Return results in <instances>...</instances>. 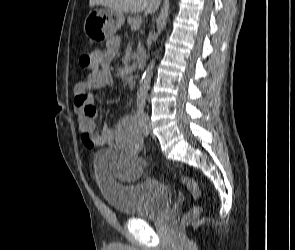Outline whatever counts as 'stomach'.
Returning a JSON list of instances; mask_svg holds the SVG:
<instances>
[{
  "label": "stomach",
  "instance_id": "1",
  "mask_svg": "<svg viewBox=\"0 0 295 250\" xmlns=\"http://www.w3.org/2000/svg\"><path fill=\"white\" fill-rule=\"evenodd\" d=\"M125 21L124 14L113 9H96L89 13L84 31L91 40H108Z\"/></svg>",
  "mask_w": 295,
  "mask_h": 250
}]
</instances>
